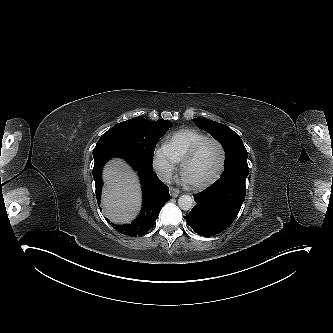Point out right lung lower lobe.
Wrapping results in <instances>:
<instances>
[{
	"mask_svg": "<svg viewBox=\"0 0 333 333\" xmlns=\"http://www.w3.org/2000/svg\"><path fill=\"white\" fill-rule=\"evenodd\" d=\"M121 157L138 171L143 188V207L140 215L127 225L112 227L118 232L131 236H141L148 232L155 224L163 205L170 200L169 188L160 181L152 170V164L144 158L124 139L104 133L93 150V177L96 186V197L100 202L101 187L103 185L101 171L112 157ZM107 220V219H106ZM110 223L109 220H107Z\"/></svg>",
	"mask_w": 333,
	"mask_h": 333,
	"instance_id": "obj_1",
	"label": "right lung lower lobe"
}]
</instances>
